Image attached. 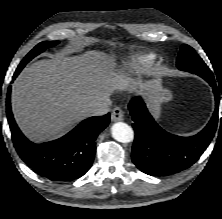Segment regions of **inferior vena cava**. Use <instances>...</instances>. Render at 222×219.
<instances>
[{"label":"inferior vena cava","instance_id":"602c4592","mask_svg":"<svg viewBox=\"0 0 222 219\" xmlns=\"http://www.w3.org/2000/svg\"><path fill=\"white\" fill-rule=\"evenodd\" d=\"M111 100L107 99L102 103L96 104L89 109L90 116H101L110 111Z\"/></svg>","mask_w":222,"mask_h":219}]
</instances>
